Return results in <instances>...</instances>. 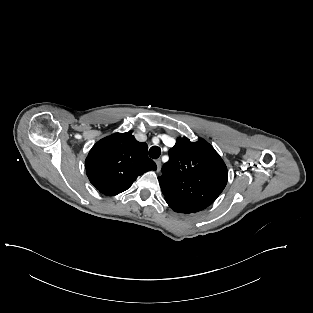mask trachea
Masks as SVG:
<instances>
[{
  "instance_id": "trachea-1",
  "label": "trachea",
  "mask_w": 313,
  "mask_h": 313,
  "mask_svg": "<svg viewBox=\"0 0 313 313\" xmlns=\"http://www.w3.org/2000/svg\"><path fill=\"white\" fill-rule=\"evenodd\" d=\"M161 154V149L158 146H152L149 149V156L153 159H157Z\"/></svg>"
}]
</instances>
